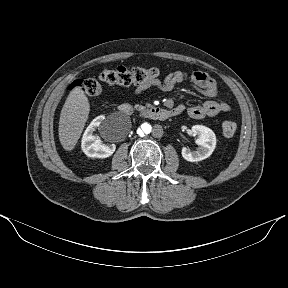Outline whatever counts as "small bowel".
<instances>
[{"label":"small bowel","instance_id":"c3829d8e","mask_svg":"<svg viewBox=\"0 0 288 288\" xmlns=\"http://www.w3.org/2000/svg\"><path fill=\"white\" fill-rule=\"evenodd\" d=\"M187 80L193 89L210 99L204 101L200 105H192L189 107L177 105L174 109H177L179 114L186 111L191 118L202 119L204 117H213L220 113H227L230 111V104L225 100L217 98V82L207 73L201 71H195L190 74L183 71H175L166 75L164 79L156 77L150 81L137 85L134 93L135 95H140L149 88H156L162 92H169L178 84Z\"/></svg>","mask_w":288,"mask_h":288}]
</instances>
